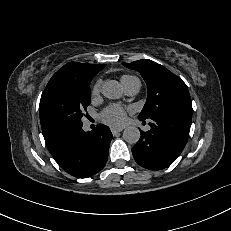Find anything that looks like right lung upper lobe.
<instances>
[{
    "instance_id": "cb5924a9",
    "label": "right lung upper lobe",
    "mask_w": 231,
    "mask_h": 231,
    "mask_svg": "<svg viewBox=\"0 0 231 231\" xmlns=\"http://www.w3.org/2000/svg\"><path fill=\"white\" fill-rule=\"evenodd\" d=\"M105 66V64L70 62L61 67L50 80L65 79L79 82H91L92 78ZM43 135L45 139H48L53 133L43 131Z\"/></svg>"
}]
</instances>
